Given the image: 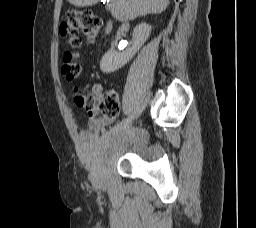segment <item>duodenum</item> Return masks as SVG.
I'll use <instances>...</instances> for the list:
<instances>
[{
    "mask_svg": "<svg viewBox=\"0 0 256 228\" xmlns=\"http://www.w3.org/2000/svg\"><path fill=\"white\" fill-rule=\"evenodd\" d=\"M112 25L111 22H108L105 28L106 33H109L111 31Z\"/></svg>",
    "mask_w": 256,
    "mask_h": 228,
    "instance_id": "1",
    "label": "duodenum"
}]
</instances>
